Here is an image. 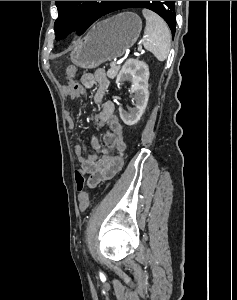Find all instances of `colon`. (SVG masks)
Masks as SVG:
<instances>
[{"mask_svg": "<svg viewBox=\"0 0 237 300\" xmlns=\"http://www.w3.org/2000/svg\"><path fill=\"white\" fill-rule=\"evenodd\" d=\"M76 68L71 66L67 70V75L69 79V84L76 90L81 88V85L73 80L72 76L75 74ZM75 181H76V187L78 191V197L81 201H86L88 199L87 194L84 192V184H85V177L84 174L80 170H76L75 172Z\"/></svg>", "mask_w": 237, "mask_h": 300, "instance_id": "obj_1", "label": "colon"}]
</instances>
